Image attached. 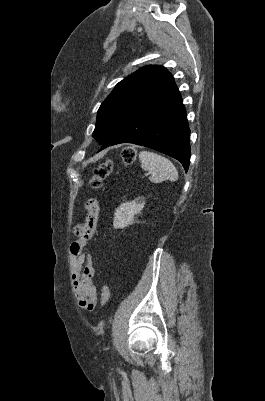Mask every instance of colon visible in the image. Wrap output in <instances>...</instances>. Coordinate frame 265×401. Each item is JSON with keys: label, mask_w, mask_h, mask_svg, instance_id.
Masks as SVG:
<instances>
[{"label": "colon", "mask_w": 265, "mask_h": 401, "mask_svg": "<svg viewBox=\"0 0 265 401\" xmlns=\"http://www.w3.org/2000/svg\"><path fill=\"white\" fill-rule=\"evenodd\" d=\"M137 151L133 147H127L122 151V161L125 165H130L136 158ZM113 169L112 160H106L100 163L93 171L89 185L92 189H98L102 186L104 180L111 174ZM102 305L106 306L109 301L110 290L106 283L101 287Z\"/></svg>", "instance_id": "1"}]
</instances>
